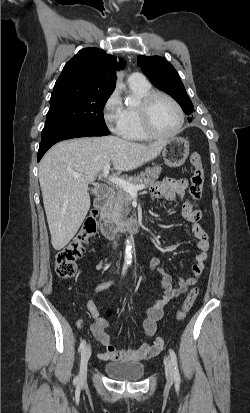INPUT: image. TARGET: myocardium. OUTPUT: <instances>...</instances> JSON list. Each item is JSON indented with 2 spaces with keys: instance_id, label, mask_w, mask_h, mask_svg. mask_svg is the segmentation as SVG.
<instances>
[{
  "instance_id": "f54148a6",
  "label": "myocardium",
  "mask_w": 250,
  "mask_h": 413,
  "mask_svg": "<svg viewBox=\"0 0 250 413\" xmlns=\"http://www.w3.org/2000/svg\"><path fill=\"white\" fill-rule=\"evenodd\" d=\"M158 97H163L165 99H167L169 102H171L173 104V106L176 108L178 115H179V123L178 126L176 127V129L173 132L170 133H159L158 131L155 130L153 124H152V116H151V112H152V106L154 101L158 98ZM138 109H139V114H140V118H141V124H142V128L144 130V132L146 133V135L149 138H153V139H170L173 138L175 136H177L181 131L182 128L184 126V122H185V115H184V111L181 107V105L177 102L176 99H174L171 95L162 92V91H150L148 94H146L141 100L140 103L138 105Z\"/></svg>"
}]
</instances>
